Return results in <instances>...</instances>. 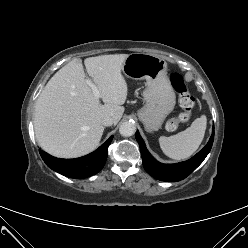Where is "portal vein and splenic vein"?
Masks as SVG:
<instances>
[{"label": "portal vein and splenic vein", "mask_w": 248, "mask_h": 248, "mask_svg": "<svg viewBox=\"0 0 248 248\" xmlns=\"http://www.w3.org/2000/svg\"><path fill=\"white\" fill-rule=\"evenodd\" d=\"M86 83L91 87L93 94H94V97L96 99H99L101 94H100V90L98 89V87L92 82L91 79H87Z\"/></svg>", "instance_id": "portal-vein-and-splenic-vein-1"}]
</instances>
